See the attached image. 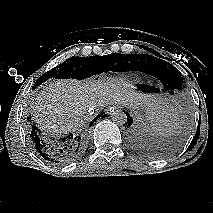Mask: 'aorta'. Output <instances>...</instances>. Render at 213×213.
<instances>
[{"label": "aorta", "mask_w": 213, "mask_h": 213, "mask_svg": "<svg viewBox=\"0 0 213 213\" xmlns=\"http://www.w3.org/2000/svg\"><path fill=\"white\" fill-rule=\"evenodd\" d=\"M112 121L119 125V126H122L124 125L126 122H127V116L126 114L121 111V110H117L115 111L113 114H112Z\"/></svg>", "instance_id": "1"}]
</instances>
